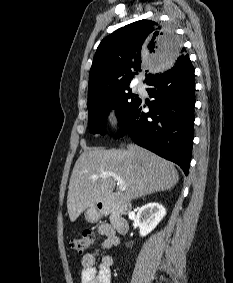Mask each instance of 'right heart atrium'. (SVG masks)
Returning <instances> with one entry per match:
<instances>
[{"label":"right heart atrium","instance_id":"d8ad5b80","mask_svg":"<svg viewBox=\"0 0 233 283\" xmlns=\"http://www.w3.org/2000/svg\"><path fill=\"white\" fill-rule=\"evenodd\" d=\"M106 122L111 129H116L120 122V117L117 109L111 108L106 114Z\"/></svg>","mask_w":233,"mask_h":283}]
</instances>
